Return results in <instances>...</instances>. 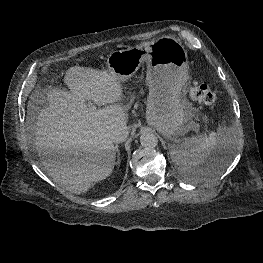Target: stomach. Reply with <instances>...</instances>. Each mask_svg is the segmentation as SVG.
Returning <instances> with one entry per match:
<instances>
[{
  "label": "stomach",
  "instance_id": "0dacf381",
  "mask_svg": "<svg viewBox=\"0 0 263 263\" xmlns=\"http://www.w3.org/2000/svg\"><path fill=\"white\" fill-rule=\"evenodd\" d=\"M143 63L147 65V121L170 139L184 135L193 127L182 99L189 78L187 51L179 40L164 36L108 55V73L119 82L132 77Z\"/></svg>",
  "mask_w": 263,
  "mask_h": 263
}]
</instances>
